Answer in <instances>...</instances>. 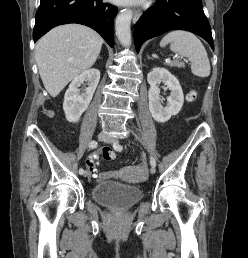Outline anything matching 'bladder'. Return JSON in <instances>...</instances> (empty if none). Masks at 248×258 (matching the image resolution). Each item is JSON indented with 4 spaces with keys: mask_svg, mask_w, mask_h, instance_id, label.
<instances>
[{
    "mask_svg": "<svg viewBox=\"0 0 248 258\" xmlns=\"http://www.w3.org/2000/svg\"><path fill=\"white\" fill-rule=\"evenodd\" d=\"M94 201L111 208L125 209L133 206L143 197L140 188L116 182H104L92 189Z\"/></svg>",
    "mask_w": 248,
    "mask_h": 258,
    "instance_id": "obj_1",
    "label": "bladder"
}]
</instances>
